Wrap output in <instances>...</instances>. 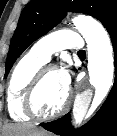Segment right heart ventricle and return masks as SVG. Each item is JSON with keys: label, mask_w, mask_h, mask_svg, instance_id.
<instances>
[{"label": "right heart ventricle", "mask_w": 117, "mask_h": 136, "mask_svg": "<svg viewBox=\"0 0 117 136\" xmlns=\"http://www.w3.org/2000/svg\"><path fill=\"white\" fill-rule=\"evenodd\" d=\"M46 62L29 51L15 65L10 75L6 102L10 117L15 121H28L30 116L23 109L25 91L38 70Z\"/></svg>", "instance_id": "e07e8e85"}]
</instances>
